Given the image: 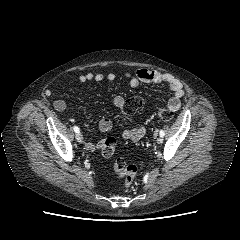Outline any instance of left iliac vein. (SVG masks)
<instances>
[{"mask_svg": "<svg viewBox=\"0 0 240 240\" xmlns=\"http://www.w3.org/2000/svg\"><path fill=\"white\" fill-rule=\"evenodd\" d=\"M157 143H158V144L163 143V138H162V137H158V138H157Z\"/></svg>", "mask_w": 240, "mask_h": 240, "instance_id": "obj_1", "label": "left iliac vein"}]
</instances>
